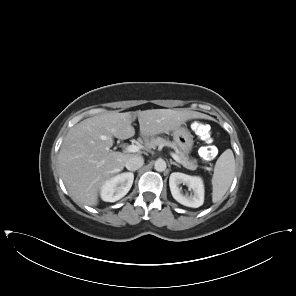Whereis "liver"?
Instances as JSON below:
<instances>
[{
  "label": "liver",
  "mask_w": 296,
  "mask_h": 296,
  "mask_svg": "<svg viewBox=\"0 0 296 296\" xmlns=\"http://www.w3.org/2000/svg\"><path fill=\"white\" fill-rule=\"evenodd\" d=\"M138 117L143 138L169 133L190 119H208L189 110L149 109L138 112H108L87 118L72 127L60 148L58 162L62 180L73 201L95 206L102 185L120 172L126 161L139 154L112 151L113 137L121 140L135 135L131 125Z\"/></svg>",
  "instance_id": "6515ba94"
}]
</instances>
